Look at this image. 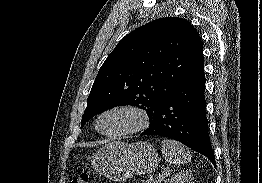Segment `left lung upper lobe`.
<instances>
[{"label":"left lung upper lobe","instance_id":"obj_1","mask_svg":"<svg viewBox=\"0 0 262 183\" xmlns=\"http://www.w3.org/2000/svg\"><path fill=\"white\" fill-rule=\"evenodd\" d=\"M202 54L200 35L186 19L165 17L135 29L99 69L81 125L120 105L140 106L152 121L161 103Z\"/></svg>","mask_w":262,"mask_h":183}]
</instances>
